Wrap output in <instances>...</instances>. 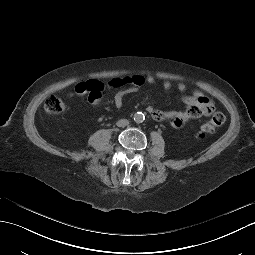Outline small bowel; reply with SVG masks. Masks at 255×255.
Wrapping results in <instances>:
<instances>
[{
  "instance_id": "1",
  "label": "small bowel",
  "mask_w": 255,
  "mask_h": 255,
  "mask_svg": "<svg viewBox=\"0 0 255 255\" xmlns=\"http://www.w3.org/2000/svg\"><path fill=\"white\" fill-rule=\"evenodd\" d=\"M155 82L156 80L153 76L145 77L141 75L116 77L106 84L98 80H88L77 83L74 87V92L70 94L69 97L73 95H86L90 103L97 104L99 103L104 90H117L114 96V105L117 108H120L122 107L124 97L127 94L137 91L145 83L154 84ZM124 86H127V88H124ZM162 87L165 90H168L172 87V83L168 80H164L162 82ZM176 88L179 92H184L186 90L184 83H178ZM183 102L186 105L184 111L164 112L149 106L147 107V112L156 121H168L173 128H180L187 121L198 119L201 116H209L214 111V103L199 91H195L192 94L185 96Z\"/></svg>"
}]
</instances>
